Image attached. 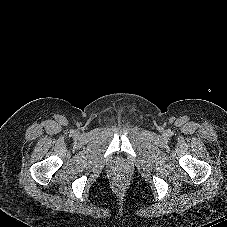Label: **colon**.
Here are the masks:
<instances>
[{
    "mask_svg": "<svg viewBox=\"0 0 227 227\" xmlns=\"http://www.w3.org/2000/svg\"><path fill=\"white\" fill-rule=\"evenodd\" d=\"M128 184V180L125 174L117 173L113 177V187L117 192H124Z\"/></svg>",
    "mask_w": 227,
    "mask_h": 227,
    "instance_id": "colon-1",
    "label": "colon"
}]
</instances>
